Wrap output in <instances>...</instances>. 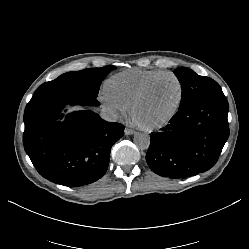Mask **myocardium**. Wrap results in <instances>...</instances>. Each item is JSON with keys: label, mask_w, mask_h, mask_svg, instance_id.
<instances>
[{"label": "myocardium", "mask_w": 249, "mask_h": 249, "mask_svg": "<svg viewBox=\"0 0 249 249\" xmlns=\"http://www.w3.org/2000/svg\"><path fill=\"white\" fill-rule=\"evenodd\" d=\"M163 77H172L177 81V83L179 85L178 102H177L175 108L173 109V111L165 119H162L160 121H157L155 123L148 124V125L140 123L141 128L146 130V131H154V130L162 129V128L166 127L167 125H169L174 120V118L177 116V114L179 113V111L182 107L183 101H184L185 88H184V84H183L181 78L177 74H175L174 72H163L161 74L154 76L150 80H148L143 85V87L139 90V92L134 96V98L131 100V102L129 104L130 114L133 116V112H134V109L137 106V104L146 96V94L149 92L151 87L159 79H161Z\"/></svg>", "instance_id": "myocardium-1"}]
</instances>
